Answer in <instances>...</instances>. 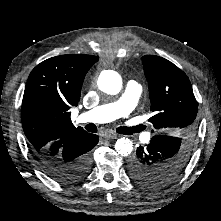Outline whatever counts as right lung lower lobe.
<instances>
[{"label": "right lung lower lobe", "instance_id": "right-lung-lower-lobe-1", "mask_svg": "<svg viewBox=\"0 0 221 221\" xmlns=\"http://www.w3.org/2000/svg\"><path fill=\"white\" fill-rule=\"evenodd\" d=\"M98 141L97 135L86 132L75 138L53 142L34 155L50 177L58 182L71 183L82 179L89 171L90 150Z\"/></svg>", "mask_w": 221, "mask_h": 221}]
</instances>
